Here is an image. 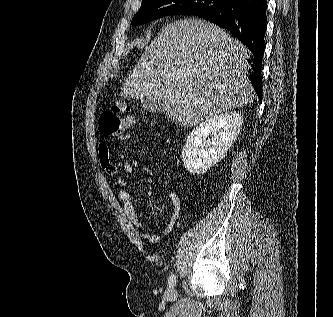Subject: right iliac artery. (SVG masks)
<instances>
[{"mask_svg":"<svg viewBox=\"0 0 333 317\" xmlns=\"http://www.w3.org/2000/svg\"><path fill=\"white\" fill-rule=\"evenodd\" d=\"M175 283H176V277H175V275L173 274V275H171V276L169 277V279H168V286H169V288L174 287V286H175Z\"/></svg>","mask_w":333,"mask_h":317,"instance_id":"1","label":"right iliac artery"}]
</instances>
